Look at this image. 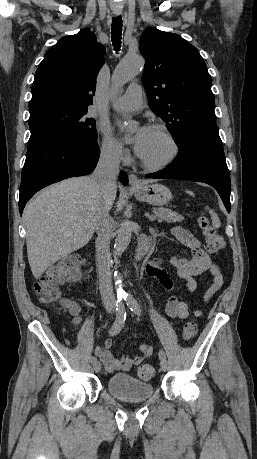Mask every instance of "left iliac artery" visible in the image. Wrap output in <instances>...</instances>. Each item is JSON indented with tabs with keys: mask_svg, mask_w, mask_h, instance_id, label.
Masks as SVG:
<instances>
[{
	"mask_svg": "<svg viewBox=\"0 0 257 459\" xmlns=\"http://www.w3.org/2000/svg\"><path fill=\"white\" fill-rule=\"evenodd\" d=\"M123 298L126 301L127 306L130 308V310L132 312H134L137 315L141 314L140 306H139L138 302L136 301V299L132 295L126 294V295L123 296ZM158 355H159V359L160 360L166 359V355H165V352L163 350H160Z\"/></svg>",
	"mask_w": 257,
	"mask_h": 459,
	"instance_id": "obj_1",
	"label": "left iliac artery"
}]
</instances>
